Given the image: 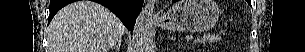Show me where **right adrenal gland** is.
I'll return each instance as SVG.
<instances>
[{
	"mask_svg": "<svg viewBox=\"0 0 305 52\" xmlns=\"http://www.w3.org/2000/svg\"><path fill=\"white\" fill-rule=\"evenodd\" d=\"M122 40H119L111 49H117V51H120V46H121Z\"/></svg>",
	"mask_w": 305,
	"mask_h": 52,
	"instance_id": "1",
	"label": "right adrenal gland"
}]
</instances>
